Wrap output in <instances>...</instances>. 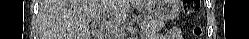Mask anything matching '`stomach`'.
<instances>
[{"mask_svg": "<svg viewBox=\"0 0 249 39\" xmlns=\"http://www.w3.org/2000/svg\"><path fill=\"white\" fill-rule=\"evenodd\" d=\"M180 0H149L146 9L158 19L173 20L180 12Z\"/></svg>", "mask_w": 249, "mask_h": 39, "instance_id": "0dacf381", "label": "stomach"}]
</instances>
